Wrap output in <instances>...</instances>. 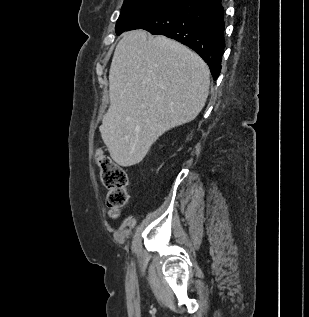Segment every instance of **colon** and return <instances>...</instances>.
<instances>
[{"mask_svg":"<svg viewBox=\"0 0 309 317\" xmlns=\"http://www.w3.org/2000/svg\"><path fill=\"white\" fill-rule=\"evenodd\" d=\"M96 162L100 168L101 181L108 190L106 204L109 215L116 218L129 200L127 173L100 150L97 152Z\"/></svg>","mask_w":309,"mask_h":317,"instance_id":"colon-1","label":"colon"}]
</instances>
